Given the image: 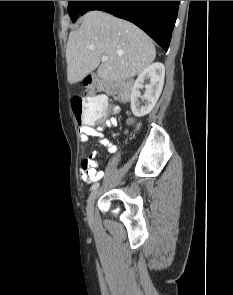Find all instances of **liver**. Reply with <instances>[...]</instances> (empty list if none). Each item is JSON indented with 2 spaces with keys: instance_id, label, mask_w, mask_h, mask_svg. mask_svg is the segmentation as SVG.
<instances>
[{
  "instance_id": "6515ba94",
  "label": "liver",
  "mask_w": 233,
  "mask_h": 295,
  "mask_svg": "<svg viewBox=\"0 0 233 295\" xmlns=\"http://www.w3.org/2000/svg\"><path fill=\"white\" fill-rule=\"evenodd\" d=\"M108 60L101 61L102 56ZM153 41L140 28L106 12L94 10L82 17L69 34L66 61L70 84L97 69L104 81H121L140 74L155 59Z\"/></svg>"
}]
</instances>
